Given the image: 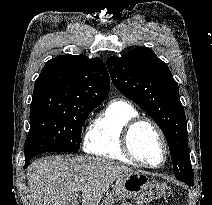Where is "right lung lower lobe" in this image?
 <instances>
[{"instance_id": "98d812e1", "label": "right lung lower lobe", "mask_w": 212, "mask_h": 205, "mask_svg": "<svg viewBox=\"0 0 212 205\" xmlns=\"http://www.w3.org/2000/svg\"><path fill=\"white\" fill-rule=\"evenodd\" d=\"M33 158H30V159H25L26 163L24 165V168L28 167V165L30 164V161L32 160Z\"/></svg>"}]
</instances>
